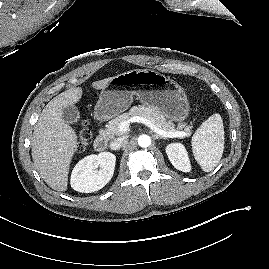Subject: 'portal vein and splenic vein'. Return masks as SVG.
<instances>
[{
  "instance_id": "1",
  "label": "portal vein and splenic vein",
  "mask_w": 269,
  "mask_h": 269,
  "mask_svg": "<svg viewBox=\"0 0 269 269\" xmlns=\"http://www.w3.org/2000/svg\"><path fill=\"white\" fill-rule=\"evenodd\" d=\"M130 122H138L143 123L147 127H149L151 130H153L158 135L164 136V137H186L188 134L184 131H165L163 129L158 128L154 123L149 121L147 118L142 116H134L130 118L129 120L123 121L119 124L118 129L120 132L125 133L129 130V124Z\"/></svg>"
}]
</instances>
